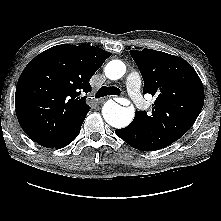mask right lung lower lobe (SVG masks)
<instances>
[{
  "instance_id": "obj_1",
  "label": "right lung lower lobe",
  "mask_w": 221,
  "mask_h": 221,
  "mask_svg": "<svg viewBox=\"0 0 221 221\" xmlns=\"http://www.w3.org/2000/svg\"><path fill=\"white\" fill-rule=\"evenodd\" d=\"M80 129L81 128H79L70 138H68L67 140H65L64 142H62L61 144H59L53 148L59 149V148H63L65 146H67L68 144H70L78 136Z\"/></svg>"
}]
</instances>
